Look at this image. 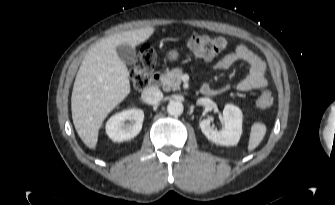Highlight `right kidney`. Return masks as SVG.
<instances>
[{"label":"right kidney","mask_w":335,"mask_h":205,"mask_svg":"<svg viewBox=\"0 0 335 205\" xmlns=\"http://www.w3.org/2000/svg\"><path fill=\"white\" fill-rule=\"evenodd\" d=\"M129 120V124L125 121ZM144 112L129 109L113 115L106 123V133L115 142H123L137 136L142 129Z\"/></svg>","instance_id":"obj_1"}]
</instances>
